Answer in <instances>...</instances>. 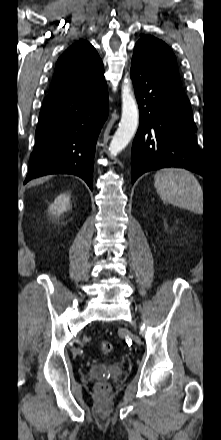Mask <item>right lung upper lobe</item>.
<instances>
[{
  "mask_svg": "<svg viewBox=\"0 0 221 440\" xmlns=\"http://www.w3.org/2000/svg\"><path fill=\"white\" fill-rule=\"evenodd\" d=\"M103 82L102 60L88 41L81 40L59 57L48 94L90 89Z\"/></svg>",
  "mask_w": 221,
  "mask_h": 440,
  "instance_id": "obj_1",
  "label": "right lung upper lobe"
}]
</instances>
